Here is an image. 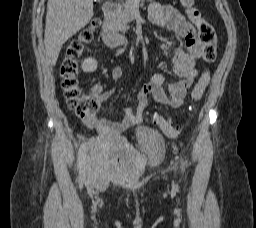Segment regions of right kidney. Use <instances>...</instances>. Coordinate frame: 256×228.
<instances>
[{
	"label": "right kidney",
	"mask_w": 256,
	"mask_h": 228,
	"mask_svg": "<svg viewBox=\"0 0 256 228\" xmlns=\"http://www.w3.org/2000/svg\"><path fill=\"white\" fill-rule=\"evenodd\" d=\"M81 67L84 72H94L97 69V61L93 58H87L82 62Z\"/></svg>",
	"instance_id": "right-kidney-1"
}]
</instances>
